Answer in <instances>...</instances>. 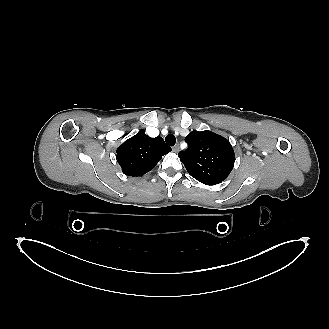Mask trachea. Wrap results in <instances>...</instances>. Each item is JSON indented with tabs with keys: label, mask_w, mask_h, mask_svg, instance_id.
Returning a JSON list of instances; mask_svg holds the SVG:
<instances>
[{
	"label": "trachea",
	"mask_w": 329,
	"mask_h": 329,
	"mask_svg": "<svg viewBox=\"0 0 329 329\" xmlns=\"http://www.w3.org/2000/svg\"><path fill=\"white\" fill-rule=\"evenodd\" d=\"M165 141L166 143L169 145V146H173L175 145L176 143V138L174 135L172 134H168L166 137H165Z\"/></svg>",
	"instance_id": "obj_1"
}]
</instances>
